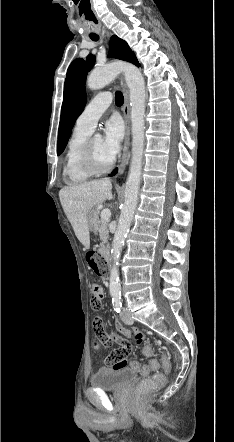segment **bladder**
<instances>
[{
	"mask_svg": "<svg viewBox=\"0 0 234 442\" xmlns=\"http://www.w3.org/2000/svg\"><path fill=\"white\" fill-rule=\"evenodd\" d=\"M137 376L131 367H102L90 377V384L102 390H118L132 382Z\"/></svg>",
	"mask_w": 234,
	"mask_h": 442,
	"instance_id": "31cf9c89",
	"label": "bladder"
}]
</instances>
